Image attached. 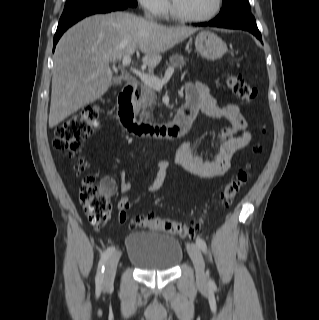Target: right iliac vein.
Masks as SVG:
<instances>
[{"mask_svg": "<svg viewBox=\"0 0 319 320\" xmlns=\"http://www.w3.org/2000/svg\"><path fill=\"white\" fill-rule=\"evenodd\" d=\"M120 257H121V252L116 251L111 255V257L106 263L104 286L107 288L110 287L114 282L116 268H117Z\"/></svg>", "mask_w": 319, "mask_h": 320, "instance_id": "right-iliac-vein-1", "label": "right iliac vein"}]
</instances>
